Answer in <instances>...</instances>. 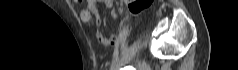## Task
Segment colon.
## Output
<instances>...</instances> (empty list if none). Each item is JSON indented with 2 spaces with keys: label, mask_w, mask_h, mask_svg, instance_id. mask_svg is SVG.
I'll return each mask as SVG.
<instances>
[{
  "label": "colon",
  "mask_w": 238,
  "mask_h": 70,
  "mask_svg": "<svg viewBox=\"0 0 238 70\" xmlns=\"http://www.w3.org/2000/svg\"><path fill=\"white\" fill-rule=\"evenodd\" d=\"M75 2H81V0H74ZM151 0H136L130 3V9L134 13L140 12L142 9L149 5Z\"/></svg>",
  "instance_id": "5ec220e1"
}]
</instances>
